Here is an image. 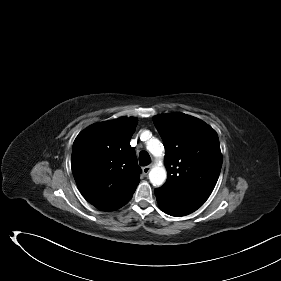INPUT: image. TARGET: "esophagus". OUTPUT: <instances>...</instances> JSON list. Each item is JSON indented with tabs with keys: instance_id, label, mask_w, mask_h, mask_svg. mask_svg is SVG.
Here are the masks:
<instances>
[{
	"instance_id": "obj_1",
	"label": "esophagus",
	"mask_w": 281,
	"mask_h": 281,
	"mask_svg": "<svg viewBox=\"0 0 281 281\" xmlns=\"http://www.w3.org/2000/svg\"><path fill=\"white\" fill-rule=\"evenodd\" d=\"M151 167H152L151 165H148V166L143 167V168H142L143 174H144V175H147V174L150 172Z\"/></svg>"
}]
</instances>
